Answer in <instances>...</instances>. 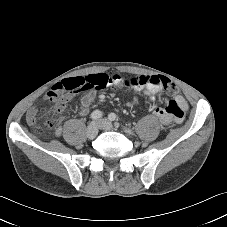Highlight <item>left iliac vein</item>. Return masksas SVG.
<instances>
[{"instance_id":"left-iliac-vein-1","label":"left iliac vein","mask_w":227,"mask_h":227,"mask_svg":"<svg viewBox=\"0 0 227 227\" xmlns=\"http://www.w3.org/2000/svg\"><path fill=\"white\" fill-rule=\"evenodd\" d=\"M97 124H98L99 128L102 129V130L109 131V130H113L114 129V126L112 125V123L109 122L106 119L99 120L97 122Z\"/></svg>"}]
</instances>
